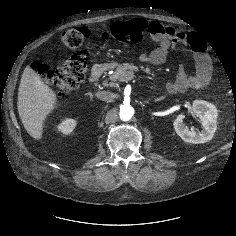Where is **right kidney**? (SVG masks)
I'll return each mask as SVG.
<instances>
[{
    "label": "right kidney",
    "instance_id": "right-kidney-1",
    "mask_svg": "<svg viewBox=\"0 0 236 236\" xmlns=\"http://www.w3.org/2000/svg\"><path fill=\"white\" fill-rule=\"evenodd\" d=\"M76 124H77L76 120L72 118H66L57 125V129L58 131L67 135V134H70L74 130Z\"/></svg>",
    "mask_w": 236,
    "mask_h": 236
}]
</instances>
